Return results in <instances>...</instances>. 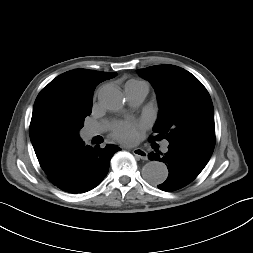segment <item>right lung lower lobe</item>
<instances>
[{
  "label": "right lung lower lobe",
  "mask_w": 253,
  "mask_h": 253,
  "mask_svg": "<svg viewBox=\"0 0 253 253\" xmlns=\"http://www.w3.org/2000/svg\"><path fill=\"white\" fill-rule=\"evenodd\" d=\"M118 146L108 144L101 149L85 146L81 140L66 152L48 179L69 193H84L95 188L107 175L110 160Z\"/></svg>",
  "instance_id": "98d812e1"
}]
</instances>
